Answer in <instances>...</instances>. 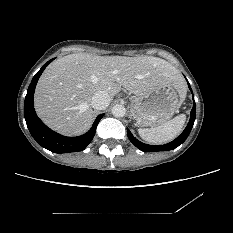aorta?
<instances>
[{
	"label": "aorta",
	"mask_w": 233,
	"mask_h": 233,
	"mask_svg": "<svg viewBox=\"0 0 233 233\" xmlns=\"http://www.w3.org/2000/svg\"><path fill=\"white\" fill-rule=\"evenodd\" d=\"M112 114L115 117H123L126 114V109L123 105L117 104L112 108Z\"/></svg>",
	"instance_id": "aorta-1"
}]
</instances>
